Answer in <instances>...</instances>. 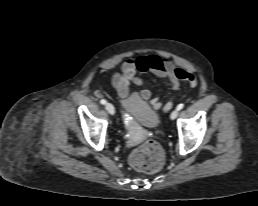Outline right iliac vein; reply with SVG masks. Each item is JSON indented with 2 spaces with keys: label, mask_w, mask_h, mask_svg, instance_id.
I'll list each match as a JSON object with an SVG mask.
<instances>
[{
  "label": "right iliac vein",
  "mask_w": 258,
  "mask_h": 206,
  "mask_svg": "<svg viewBox=\"0 0 258 206\" xmlns=\"http://www.w3.org/2000/svg\"><path fill=\"white\" fill-rule=\"evenodd\" d=\"M105 108L109 114H111V115L115 114V108L111 103H106Z\"/></svg>",
  "instance_id": "63e3f726"
}]
</instances>
